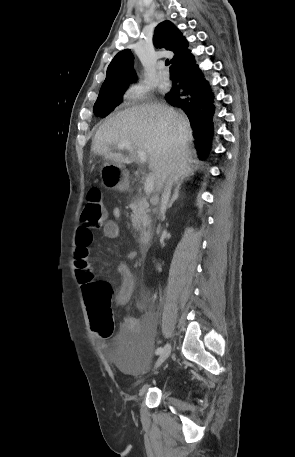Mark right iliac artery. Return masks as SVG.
Listing matches in <instances>:
<instances>
[{
  "label": "right iliac artery",
  "mask_w": 295,
  "mask_h": 457,
  "mask_svg": "<svg viewBox=\"0 0 295 457\" xmlns=\"http://www.w3.org/2000/svg\"><path fill=\"white\" fill-rule=\"evenodd\" d=\"M162 350H163L162 347L158 348V349L155 351V354H156V355L160 354V353L162 352Z\"/></svg>",
  "instance_id": "1"
}]
</instances>
